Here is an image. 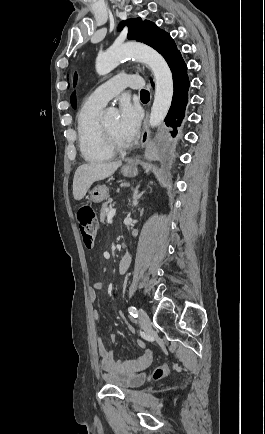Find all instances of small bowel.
<instances>
[{"label":"small bowel","mask_w":265,"mask_h":434,"mask_svg":"<svg viewBox=\"0 0 265 434\" xmlns=\"http://www.w3.org/2000/svg\"><path fill=\"white\" fill-rule=\"evenodd\" d=\"M102 287V283L97 281L89 288V299L92 302L96 300L97 292L100 291ZM118 314L121 318L126 316L122 310H119ZM91 317L94 321H98L100 318L98 310L94 309L91 312ZM128 328L130 331L133 330L130 326ZM111 339L116 341V337L114 335H111ZM134 343L141 350V355L135 358L117 360L116 351L113 349H107L103 339L99 335L96 336V355L101 368L108 374V382H118L123 386H135L141 384L145 380V376L136 371L142 370L150 364L153 358V353L151 349L147 348L141 340L135 339ZM128 369L133 371L128 372Z\"/></svg>","instance_id":"small-bowel-1"}]
</instances>
